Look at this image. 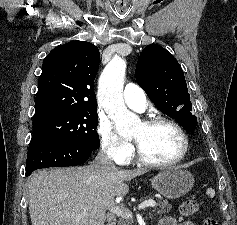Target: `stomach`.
I'll list each match as a JSON object with an SVG mask.
<instances>
[{"instance_id": "stomach-1", "label": "stomach", "mask_w": 237, "mask_h": 225, "mask_svg": "<svg viewBox=\"0 0 237 225\" xmlns=\"http://www.w3.org/2000/svg\"><path fill=\"white\" fill-rule=\"evenodd\" d=\"M152 187L168 199H178L193 187L192 174L180 167H169L151 179Z\"/></svg>"}]
</instances>
